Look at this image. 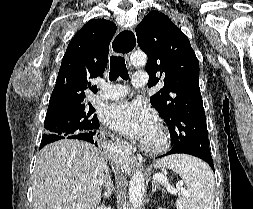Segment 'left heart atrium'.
<instances>
[{"instance_id":"obj_1","label":"left heart atrium","mask_w":253,"mask_h":209,"mask_svg":"<svg viewBox=\"0 0 253 209\" xmlns=\"http://www.w3.org/2000/svg\"><path fill=\"white\" fill-rule=\"evenodd\" d=\"M102 118L112 129L136 140H146L155 126L151 112L138 100H123L109 105Z\"/></svg>"}]
</instances>
